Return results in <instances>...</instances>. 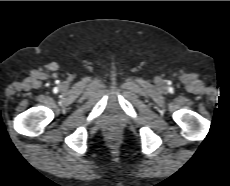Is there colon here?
I'll return each mask as SVG.
<instances>
[{
	"label": "colon",
	"mask_w": 230,
	"mask_h": 186,
	"mask_svg": "<svg viewBox=\"0 0 230 186\" xmlns=\"http://www.w3.org/2000/svg\"><path fill=\"white\" fill-rule=\"evenodd\" d=\"M109 138H110V141L115 144L117 142V138H118V135L115 131H111L109 133Z\"/></svg>",
	"instance_id": "obj_1"
}]
</instances>
